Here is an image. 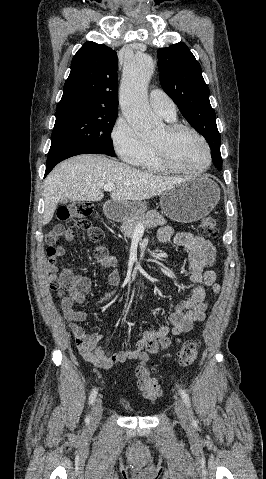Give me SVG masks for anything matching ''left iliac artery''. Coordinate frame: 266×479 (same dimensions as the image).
Segmentation results:
<instances>
[{
    "mask_svg": "<svg viewBox=\"0 0 266 479\" xmlns=\"http://www.w3.org/2000/svg\"><path fill=\"white\" fill-rule=\"evenodd\" d=\"M180 395H181V398L183 399L184 403L186 404L187 408L190 409V413L192 414V412H191V402H190L189 395L183 389H180ZM192 418H193V416H192Z\"/></svg>",
    "mask_w": 266,
    "mask_h": 479,
    "instance_id": "left-iliac-artery-1",
    "label": "left iliac artery"
}]
</instances>
